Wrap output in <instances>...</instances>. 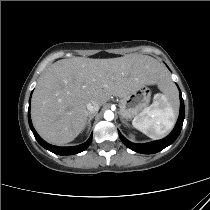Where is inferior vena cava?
Instances as JSON below:
<instances>
[{
    "label": "inferior vena cava",
    "instance_id": "602c4592",
    "mask_svg": "<svg viewBox=\"0 0 210 210\" xmlns=\"http://www.w3.org/2000/svg\"><path fill=\"white\" fill-rule=\"evenodd\" d=\"M98 110H99V105L96 102H90L87 104V111L89 116L97 113Z\"/></svg>",
    "mask_w": 210,
    "mask_h": 210
}]
</instances>
